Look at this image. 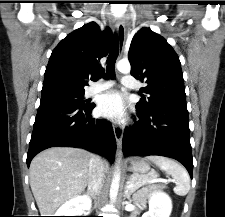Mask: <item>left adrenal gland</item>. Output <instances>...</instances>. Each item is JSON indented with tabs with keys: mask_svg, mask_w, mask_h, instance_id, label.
Here are the masks:
<instances>
[{
	"mask_svg": "<svg viewBox=\"0 0 225 217\" xmlns=\"http://www.w3.org/2000/svg\"><path fill=\"white\" fill-rule=\"evenodd\" d=\"M130 195H131V194L129 193L128 189L125 188V195H124V196H125L127 199L131 200Z\"/></svg>",
	"mask_w": 225,
	"mask_h": 217,
	"instance_id": "left-adrenal-gland-1",
	"label": "left adrenal gland"
}]
</instances>
